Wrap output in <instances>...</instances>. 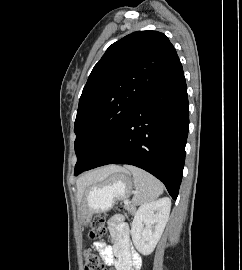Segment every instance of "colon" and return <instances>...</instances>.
Masks as SVG:
<instances>
[{
    "label": "colon",
    "instance_id": "1",
    "mask_svg": "<svg viewBox=\"0 0 242 270\" xmlns=\"http://www.w3.org/2000/svg\"><path fill=\"white\" fill-rule=\"evenodd\" d=\"M121 211V210H120ZM107 218L106 213L96 214L91 223V230L89 237L92 240H101L107 236ZM85 270H111L107 268L101 261L98 254L93 251L88 250L85 253Z\"/></svg>",
    "mask_w": 242,
    "mask_h": 270
}]
</instances>
